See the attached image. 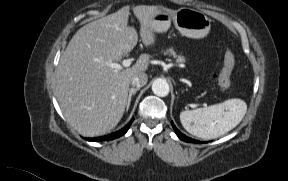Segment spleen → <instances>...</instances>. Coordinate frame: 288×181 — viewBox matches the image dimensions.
Here are the masks:
<instances>
[{
	"label": "spleen",
	"mask_w": 288,
	"mask_h": 181,
	"mask_svg": "<svg viewBox=\"0 0 288 181\" xmlns=\"http://www.w3.org/2000/svg\"><path fill=\"white\" fill-rule=\"evenodd\" d=\"M246 112V103L234 98L208 107L182 111L180 121L185 130L192 135L210 140L235 128Z\"/></svg>",
	"instance_id": "spleen-1"
}]
</instances>
